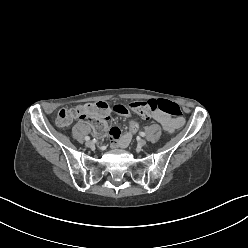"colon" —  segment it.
Masks as SVG:
<instances>
[{
    "instance_id": "5ec220e1",
    "label": "colon",
    "mask_w": 248,
    "mask_h": 248,
    "mask_svg": "<svg viewBox=\"0 0 248 248\" xmlns=\"http://www.w3.org/2000/svg\"><path fill=\"white\" fill-rule=\"evenodd\" d=\"M134 111L142 118L149 119L156 112H164L175 118H180L182 111L178 104L169 100H148V101H133L127 105H117L112 109L114 114L121 115L123 118L130 119L128 122V132L132 137H135L139 132V126L136 119L132 118ZM108 106L105 102L100 101L95 104H82L78 109H63L59 111L56 117V124L59 127H65L75 118L79 117L85 121L93 122L92 134L96 138H101L108 133L107 114ZM111 138V135H110Z\"/></svg>"
}]
</instances>
